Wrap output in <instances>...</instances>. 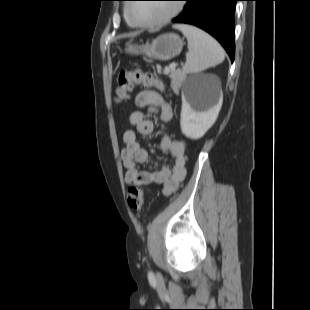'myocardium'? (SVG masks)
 I'll list each match as a JSON object with an SVG mask.
<instances>
[{"label": "myocardium", "mask_w": 310, "mask_h": 310, "mask_svg": "<svg viewBox=\"0 0 310 310\" xmlns=\"http://www.w3.org/2000/svg\"><path fill=\"white\" fill-rule=\"evenodd\" d=\"M131 6H132V4H127L125 7V16H126L128 23H130L131 25H133L135 27L149 28V29L162 27L163 25L170 22L177 15H179L183 10L182 5L174 4L171 12L168 15H166L165 17L161 18L160 20L155 21V22H140V21L134 20L131 17V15H130V7Z\"/></svg>", "instance_id": "f54148a6"}]
</instances>
